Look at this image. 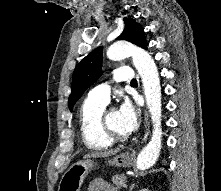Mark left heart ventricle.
I'll list each match as a JSON object with an SVG mask.
<instances>
[{"label":"left heart ventricle","mask_w":221,"mask_h":191,"mask_svg":"<svg viewBox=\"0 0 221 191\" xmlns=\"http://www.w3.org/2000/svg\"><path fill=\"white\" fill-rule=\"evenodd\" d=\"M108 122L110 126L121 134L127 135V133L122 129L120 123V115L119 112L116 110H111L108 114Z\"/></svg>","instance_id":"b2bd125f"}]
</instances>
